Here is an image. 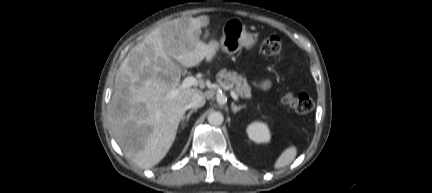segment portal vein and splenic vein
I'll return each mask as SVG.
<instances>
[{"instance_id":"1","label":"portal vein and splenic vein","mask_w":432,"mask_h":193,"mask_svg":"<svg viewBox=\"0 0 432 193\" xmlns=\"http://www.w3.org/2000/svg\"><path fill=\"white\" fill-rule=\"evenodd\" d=\"M198 85H200V82L195 77L188 76L183 80V82L181 83V85L178 88L173 89L169 92L168 97L173 98V97L177 96L180 91H182L188 87L198 86ZM230 95L235 101H238V96L234 90H230Z\"/></svg>"}]
</instances>
